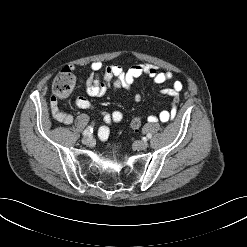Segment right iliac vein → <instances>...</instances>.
<instances>
[{"label":"right iliac vein","mask_w":247,"mask_h":247,"mask_svg":"<svg viewBox=\"0 0 247 247\" xmlns=\"http://www.w3.org/2000/svg\"><path fill=\"white\" fill-rule=\"evenodd\" d=\"M82 142H83V144H85V145H87V146H91V145H93V143H94V140H93V138L92 137H84L83 139H82Z\"/></svg>","instance_id":"right-iliac-vein-1"}]
</instances>
